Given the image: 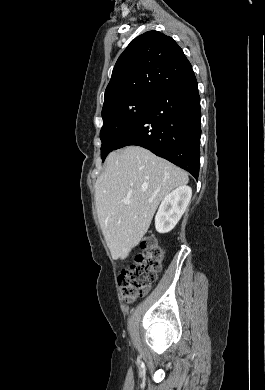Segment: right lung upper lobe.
<instances>
[{"label":"right lung upper lobe","mask_w":265,"mask_h":390,"mask_svg":"<svg viewBox=\"0 0 265 390\" xmlns=\"http://www.w3.org/2000/svg\"><path fill=\"white\" fill-rule=\"evenodd\" d=\"M191 67L171 37L148 31L132 40L118 58L105 91L103 108L136 94L156 96Z\"/></svg>","instance_id":"1"}]
</instances>
